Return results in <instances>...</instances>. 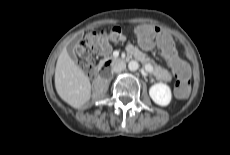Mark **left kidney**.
Listing matches in <instances>:
<instances>
[{"label":"left kidney","instance_id":"1","mask_svg":"<svg viewBox=\"0 0 230 155\" xmlns=\"http://www.w3.org/2000/svg\"><path fill=\"white\" fill-rule=\"evenodd\" d=\"M149 95L156 104L161 106H167L171 101L170 87L164 83L151 86Z\"/></svg>","mask_w":230,"mask_h":155}]
</instances>
